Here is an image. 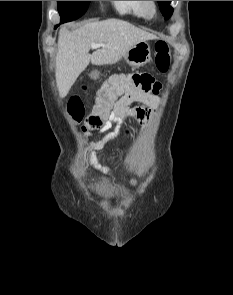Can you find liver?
<instances>
[{
	"label": "liver",
	"instance_id": "liver-1",
	"mask_svg": "<svg viewBox=\"0 0 233 295\" xmlns=\"http://www.w3.org/2000/svg\"><path fill=\"white\" fill-rule=\"evenodd\" d=\"M153 39H156L154 35L119 19L90 22L72 32L61 28L55 69L60 97L68 94L90 62L93 65L114 64L136 43ZM92 43L104 46L89 54Z\"/></svg>",
	"mask_w": 233,
	"mask_h": 295
}]
</instances>
